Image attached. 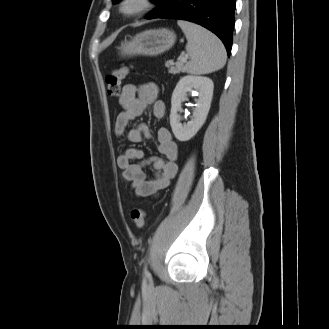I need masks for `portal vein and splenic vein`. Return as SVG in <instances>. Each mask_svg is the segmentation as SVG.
<instances>
[{
  "label": "portal vein and splenic vein",
  "mask_w": 329,
  "mask_h": 329,
  "mask_svg": "<svg viewBox=\"0 0 329 329\" xmlns=\"http://www.w3.org/2000/svg\"><path fill=\"white\" fill-rule=\"evenodd\" d=\"M188 59V56L181 57L180 62L185 63Z\"/></svg>",
  "instance_id": "portal-vein-and-splenic-vein-1"
}]
</instances>
